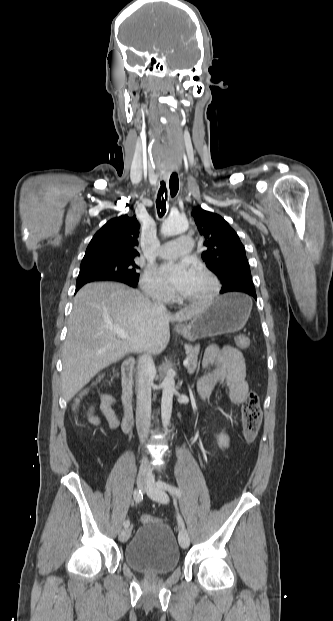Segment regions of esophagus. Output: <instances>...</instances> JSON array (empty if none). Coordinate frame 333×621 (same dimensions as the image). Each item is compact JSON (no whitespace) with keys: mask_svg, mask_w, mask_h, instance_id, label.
Masks as SVG:
<instances>
[{"mask_svg":"<svg viewBox=\"0 0 333 621\" xmlns=\"http://www.w3.org/2000/svg\"><path fill=\"white\" fill-rule=\"evenodd\" d=\"M164 181L166 182V186L168 189L169 199L170 200L175 199L179 192L178 189H179L180 175L178 171H173L172 173H170L167 177L164 178Z\"/></svg>","mask_w":333,"mask_h":621,"instance_id":"1","label":"esophagus"}]
</instances>
